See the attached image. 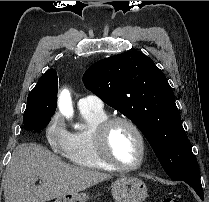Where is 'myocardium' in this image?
Returning <instances> with one entry per match:
<instances>
[{
  "label": "myocardium",
  "instance_id": "myocardium-1",
  "mask_svg": "<svg viewBox=\"0 0 209 202\" xmlns=\"http://www.w3.org/2000/svg\"><path fill=\"white\" fill-rule=\"evenodd\" d=\"M118 123L128 125L137 135L140 142V159L137 164L127 166L116 161L109 150L108 137L111 129ZM94 144L100 159L110 168L119 171H136L140 169L146 159L147 155V141L142 129L132 119L125 116H112L105 119L94 132Z\"/></svg>",
  "mask_w": 209,
  "mask_h": 202
}]
</instances>
